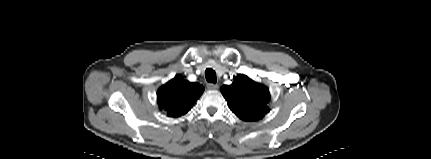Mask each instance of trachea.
<instances>
[{
	"instance_id": "obj_1",
	"label": "trachea",
	"mask_w": 431,
	"mask_h": 159,
	"mask_svg": "<svg viewBox=\"0 0 431 159\" xmlns=\"http://www.w3.org/2000/svg\"><path fill=\"white\" fill-rule=\"evenodd\" d=\"M205 77H206V80L208 81V82H210V83H216V81H217V78H216V73H215V71L213 70V69H211V68H207L206 69V71H205Z\"/></svg>"
}]
</instances>
